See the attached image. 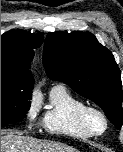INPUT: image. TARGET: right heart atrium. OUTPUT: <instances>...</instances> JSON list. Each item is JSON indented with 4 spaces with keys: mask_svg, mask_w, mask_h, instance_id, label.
I'll return each mask as SVG.
<instances>
[{
    "mask_svg": "<svg viewBox=\"0 0 123 152\" xmlns=\"http://www.w3.org/2000/svg\"><path fill=\"white\" fill-rule=\"evenodd\" d=\"M39 107V100L37 98H32L25 111V121L29 127L37 125Z\"/></svg>",
    "mask_w": 123,
    "mask_h": 152,
    "instance_id": "right-heart-atrium-1",
    "label": "right heart atrium"
}]
</instances>
